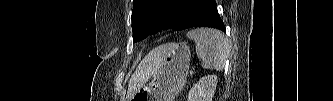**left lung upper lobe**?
<instances>
[{
    "label": "left lung upper lobe",
    "instance_id": "left-lung-upper-lobe-1",
    "mask_svg": "<svg viewBox=\"0 0 333 101\" xmlns=\"http://www.w3.org/2000/svg\"><path fill=\"white\" fill-rule=\"evenodd\" d=\"M183 14L180 0H134L133 41H140L163 29L179 30V21Z\"/></svg>",
    "mask_w": 333,
    "mask_h": 101
}]
</instances>
